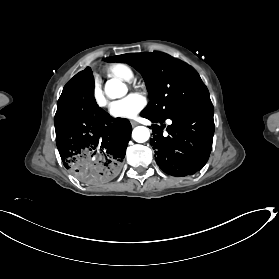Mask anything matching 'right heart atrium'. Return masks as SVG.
Instances as JSON below:
<instances>
[{
  "label": "right heart atrium",
  "instance_id": "d8ad5b80",
  "mask_svg": "<svg viewBox=\"0 0 279 279\" xmlns=\"http://www.w3.org/2000/svg\"><path fill=\"white\" fill-rule=\"evenodd\" d=\"M93 98H94L96 104H97L99 107H105V106H106V102H105V99H104L103 92H102V90H101L100 85L97 84V83L94 84V88H93Z\"/></svg>",
  "mask_w": 279,
  "mask_h": 279
}]
</instances>
